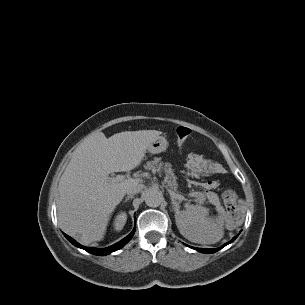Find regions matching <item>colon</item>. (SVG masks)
Here are the masks:
<instances>
[{"instance_id": "5ec220e1", "label": "colon", "mask_w": 305, "mask_h": 305, "mask_svg": "<svg viewBox=\"0 0 305 305\" xmlns=\"http://www.w3.org/2000/svg\"><path fill=\"white\" fill-rule=\"evenodd\" d=\"M178 144L183 145L184 142L188 139L191 135V130L185 126H178L175 130ZM222 200L227 208L229 216L231 218H236L238 216V205H237V194L231 190L227 189L223 192Z\"/></svg>"}]
</instances>
